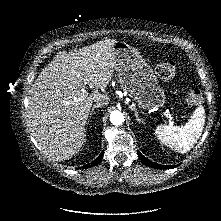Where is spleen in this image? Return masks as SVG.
Segmentation results:
<instances>
[{"mask_svg": "<svg viewBox=\"0 0 221 221\" xmlns=\"http://www.w3.org/2000/svg\"><path fill=\"white\" fill-rule=\"evenodd\" d=\"M205 123L204 108L198 107L191 121L184 126L160 125L156 128L155 134L161 143L173 148L174 150L186 153L201 136Z\"/></svg>", "mask_w": 221, "mask_h": 221, "instance_id": "3e777b00", "label": "spleen"}]
</instances>
